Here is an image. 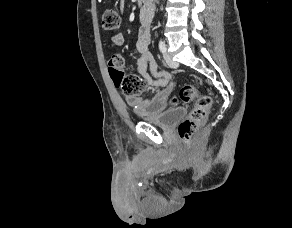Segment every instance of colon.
Wrapping results in <instances>:
<instances>
[{
  "instance_id": "colon-1",
  "label": "colon",
  "mask_w": 292,
  "mask_h": 228,
  "mask_svg": "<svg viewBox=\"0 0 292 228\" xmlns=\"http://www.w3.org/2000/svg\"><path fill=\"white\" fill-rule=\"evenodd\" d=\"M121 18L118 11L114 8H107L102 14V27L104 31L115 33L119 30ZM124 60L122 56L115 54L109 59V73L114 84L128 97L137 96L140 94L143 82L137 75H126L123 71ZM178 101L183 103L194 102L195 105L189 115L183 120L178 127L180 139L190 144L197 129L207 119L210 107L211 98L202 95L198 90L190 85L183 86L177 98H173L171 103L176 104Z\"/></svg>"
}]
</instances>
